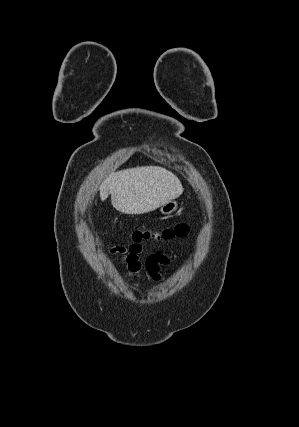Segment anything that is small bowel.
<instances>
[{
	"mask_svg": "<svg viewBox=\"0 0 299 427\" xmlns=\"http://www.w3.org/2000/svg\"><path fill=\"white\" fill-rule=\"evenodd\" d=\"M118 252L123 254V263L131 273L137 274L145 269L154 280L159 279L160 266L169 264L168 257L161 253L151 254L145 263H142L140 261L142 247L138 244L132 245L127 251L122 249Z\"/></svg>",
	"mask_w": 299,
	"mask_h": 427,
	"instance_id": "1",
	"label": "small bowel"
}]
</instances>
